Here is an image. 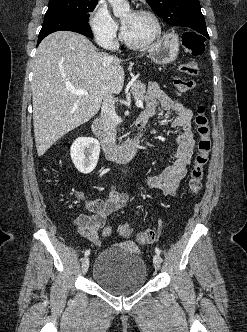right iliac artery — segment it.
I'll use <instances>...</instances> for the list:
<instances>
[{
    "instance_id": "82829eb1",
    "label": "right iliac artery",
    "mask_w": 247,
    "mask_h": 332,
    "mask_svg": "<svg viewBox=\"0 0 247 332\" xmlns=\"http://www.w3.org/2000/svg\"><path fill=\"white\" fill-rule=\"evenodd\" d=\"M90 254V250L85 251V256H88Z\"/></svg>"
}]
</instances>
